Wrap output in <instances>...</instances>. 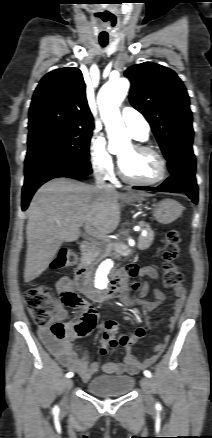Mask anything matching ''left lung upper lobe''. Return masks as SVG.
I'll return each mask as SVG.
<instances>
[{"instance_id": "obj_1", "label": "left lung upper lobe", "mask_w": 212, "mask_h": 438, "mask_svg": "<svg viewBox=\"0 0 212 438\" xmlns=\"http://www.w3.org/2000/svg\"><path fill=\"white\" fill-rule=\"evenodd\" d=\"M131 81L130 102L151 125L166 159L192 147L189 96L177 74L162 65L144 62L125 71Z\"/></svg>"}]
</instances>
